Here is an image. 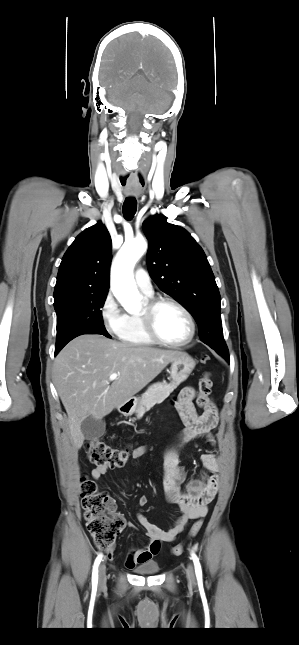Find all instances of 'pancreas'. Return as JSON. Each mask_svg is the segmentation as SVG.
Wrapping results in <instances>:
<instances>
[{"label": "pancreas", "mask_w": 299, "mask_h": 645, "mask_svg": "<svg viewBox=\"0 0 299 645\" xmlns=\"http://www.w3.org/2000/svg\"><path fill=\"white\" fill-rule=\"evenodd\" d=\"M177 386L178 384L174 382L170 384L165 382L156 383L150 386L140 399V404L136 410L137 419H140L155 404L163 402Z\"/></svg>", "instance_id": "1"}]
</instances>
